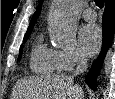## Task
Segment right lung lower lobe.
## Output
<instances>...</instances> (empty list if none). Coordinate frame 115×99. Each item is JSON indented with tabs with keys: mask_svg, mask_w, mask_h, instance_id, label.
Returning <instances> with one entry per match:
<instances>
[{
	"mask_svg": "<svg viewBox=\"0 0 115 99\" xmlns=\"http://www.w3.org/2000/svg\"><path fill=\"white\" fill-rule=\"evenodd\" d=\"M103 48L98 59L93 63L91 70L85 78V82L95 91L97 86L96 77L101 69L107 49L110 47L115 30V0L105 4L103 14Z\"/></svg>",
	"mask_w": 115,
	"mask_h": 99,
	"instance_id": "obj_1",
	"label": "right lung lower lobe"
}]
</instances>
